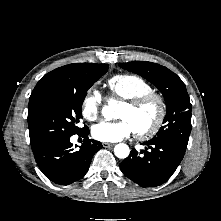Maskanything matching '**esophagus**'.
Returning a JSON list of instances; mask_svg holds the SVG:
<instances>
[{
  "instance_id": "34e87169",
  "label": "esophagus",
  "mask_w": 221,
  "mask_h": 221,
  "mask_svg": "<svg viewBox=\"0 0 221 221\" xmlns=\"http://www.w3.org/2000/svg\"><path fill=\"white\" fill-rule=\"evenodd\" d=\"M114 145H115L114 143H107V142H103V143H102V146H103L104 148L112 147V146H114Z\"/></svg>"
}]
</instances>
